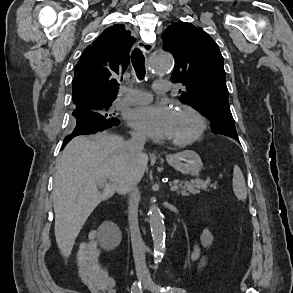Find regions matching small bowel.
<instances>
[{
  "label": "small bowel",
  "mask_w": 293,
  "mask_h": 293,
  "mask_svg": "<svg viewBox=\"0 0 293 293\" xmlns=\"http://www.w3.org/2000/svg\"><path fill=\"white\" fill-rule=\"evenodd\" d=\"M213 241L212 234L208 230H203L201 233L200 239L197 243H195L192 254H191V261L192 262H199L200 266H203L207 262V258L202 254L204 249H207L211 246ZM110 280V293L115 292V282L114 280L109 277Z\"/></svg>",
  "instance_id": "obj_1"
}]
</instances>
